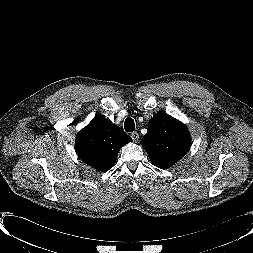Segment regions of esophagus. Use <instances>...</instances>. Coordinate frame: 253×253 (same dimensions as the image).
Segmentation results:
<instances>
[{
    "label": "esophagus",
    "instance_id": "obj_1",
    "mask_svg": "<svg viewBox=\"0 0 253 253\" xmlns=\"http://www.w3.org/2000/svg\"><path fill=\"white\" fill-rule=\"evenodd\" d=\"M131 137H132V139H133L134 142H138V140H139V134H138V132H136V131L132 132L131 133Z\"/></svg>",
    "mask_w": 253,
    "mask_h": 253
}]
</instances>
